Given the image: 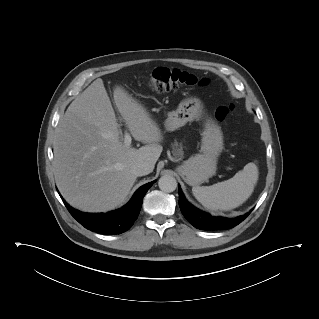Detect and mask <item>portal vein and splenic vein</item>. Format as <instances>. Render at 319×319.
<instances>
[{
    "label": "portal vein and splenic vein",
    "instance_id": "18ae733b",
    "mask_svg": "<svg viewBox=\"0 0 319 319\" xmlns=\"http://www.w3.org/2000/svg\"><path fill=\"white\" fill-rule=\"evenodd\" d=\"M131 140H132V138H131L130 134L126 132V133L124 134V144H125L126 146H130Z\"/></svg>",
    "mask_w": 319,
    "mask_h": 319
}]
</instances>
